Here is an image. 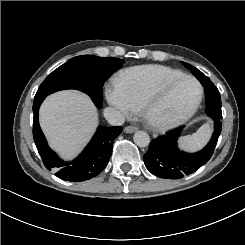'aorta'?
Masks as SVG:
<instances>
[{
    "label": "aorta",
    "instance_id": "762f6f07",
    "mask_svg": "<svg viewBox=\"0 0 245 245\" xmlns=\"http://www.w3.org/2000/svg\"><path fill=\"white\" fill-rule=\"evenodd\" d=\"M135 144L139 147H146L150 143V137L145 131H137L133 136Z\"/></svg>",
    "mask_w": 245,
    "mask_h": 245
}]
</instances>
